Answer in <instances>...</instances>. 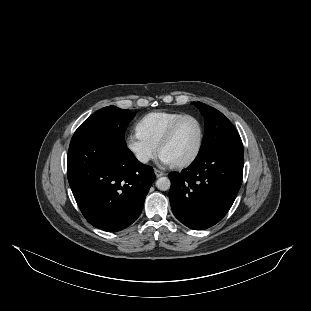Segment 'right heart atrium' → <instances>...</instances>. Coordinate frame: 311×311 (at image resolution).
I'll list each match as a JSON object with an SVG mask.
<instances>
[{
	"label": "right heart atrium",
	"instance_id": "right-heart-atrium-1",
	"mask_svg": "<svg viewBox=\"0 0 311 311\" xmlns=\"http://www.w3.org/2000/svg\"><path fill=\"white\" fill-rule=\"evenodd\" d=\"M126 148L132 157L141 165L148 164L157 155L156 148L144 142L136 133H130L126 137Z\"/></svg>",
	"mask_w": 311,
	"mask_h": 311
}]
</instances>
